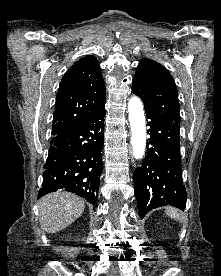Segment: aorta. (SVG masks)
I'll return each instance as SVG.
<instances>
[{
	"label": "aorta",
	"mask_w": 221,
	"mask_h": 276,
	"mask_svg": "<svg viewBox=\"0 0 221 276\" xmlns=\"http://www.w3.org/2000/svg\"><path fill=\"white\" fill-rule=\"evenodd\" d=\"M128 112L133 156L135 159H141L145 153L146 130L143 105L138 97L134 96L129 99Z\"/></svg>",
	"instance_id": "1"
}]
</instances>
